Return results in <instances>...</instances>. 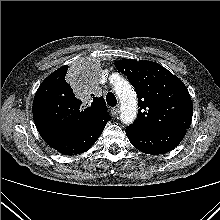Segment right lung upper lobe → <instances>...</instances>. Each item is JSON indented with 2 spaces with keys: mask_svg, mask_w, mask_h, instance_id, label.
<instances>
[{
  "mask_svg": "<svg viewBox=\"0 0 220 220\" xmlns=\"http://www.w3.org/2000/svg\"><path fill=\"white\" fill-rule=\"evenodd\" d=\"M67 70L65 65L51 73L35 94L33 118L41 137L73 132L109 117L103 97H93L88 107L82 105L67 81Z\"/></svg>",
  "mask_w": 220,
  "mask_h": 220,
  "instance_id": "right-lung-upper-lobe-1",
  "label": "right lung upper lobe"
}]
</instances>
